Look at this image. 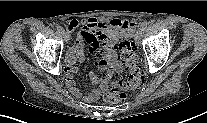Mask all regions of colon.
<instances>
[{"label":"colon","mask_w":207,"mask_h":123,"mask_svg":"<svg viewBox=\"0 0 207 123\" xmlns=\"http://www.w3.org/2000/svg\"><path fill=\"white\" fill-rule=\"evenodd\" d=\"M117 47L125 75L111 73L104 78L100 97L109 103L122 101L126 92L140 88L145 82V75L138 64L134 44L128 38H124L119 41Z\"/></svg>","instance_id":"5ec220e1"}]
</instances>
